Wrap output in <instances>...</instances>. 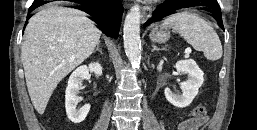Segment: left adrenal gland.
<instances>
[{"label":"left adrenal gland","instance_id":"1","mask_svg":"<svg viewBox=\"0 0 257 130\" xmlns=\"http://www.w3.org/2000/svg\"><path fill=\"white\" fill-rule=\"evenodd\" d=\"M152 52H154V51H158V50H164V48H158L156 45H152Z\"/></svg>","mask_w":257,"mask_h":130}]
</instances>
